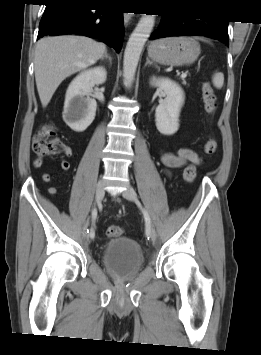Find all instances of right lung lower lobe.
<instances>
[{
  "instance_id": "right-lung-lower-lobe-1",
  "label": "right lung lower lobe",
  "mask_w": 261,
  "mask_h": 355,
  "mask_svg": "<svg viewBox=\"0 0 261 355\" xmlns=\"http://www.w3.org/2000/svg\"><path fill=\"white\" fill-rule=\"evenodd\" d=\"M38 39L45 35L81 34L98 38L120 51L124 36L123 12L92 10L98 3L86 0H45Z\"/></svg>"
}]
</instances>
